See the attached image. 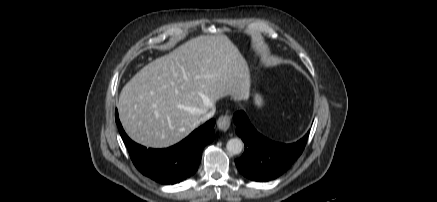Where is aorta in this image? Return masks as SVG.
Segmentation results:
<instances>
[{
  "label": "aorta",
  "mask_w": 437,
  "mask_h": 202,
  "mask_svg": "<svg viewBox=\"0 0 437 202\" xmlns=\"http://www.w3.org/2000/svg\"><path fill=\"white\" fill-rule=\"evenodd\" d=\"M226 148L230 154H240L243 149V142L238 138H232L227 142Z\"/></svg>",
  "instance_id": "obj_1"
}]
</instances>
